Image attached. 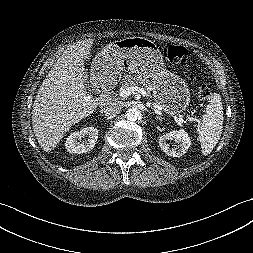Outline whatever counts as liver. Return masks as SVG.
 <instances>
[{"instance_id": "obj_1", "label": "liver", "mask_w": 253, "mask_h": 253, "mask_svg": "<svg viewBox=\"0 0 253 253\" xmlns=\"http://www.w3.org/2000/svg\"><path fill=\"white\" fill-rule=\"evenodd\" d=\"M93 39L69 46L54 63L37 92L32 127L41 148L51 151L70 128L100 104L87 94L84 60L90 59ZM89 97V98H88Z\"/></svg>"}]
</instances>
